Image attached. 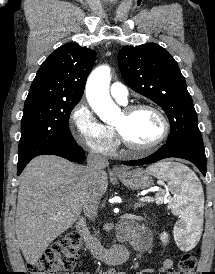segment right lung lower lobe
<instances>
[{"instance_id": "98d812e1", "label": "right lung lower lobe", "mask_w": 215, "mask_h": 274, "mask_svg": "<svg viewBox=\"0 0 215 274\" xmlns=\"http://www.w3.org/2000/svg\"><path fill=\"white\" fill-rule=\"evenodd\" d=\"M40 155H57L75 163H82L85 160V153L77 143L71 146H60L51 148L47 151H44ZM30 160L18 161L17 175H20V173Z\"/></svg>"}]
</instances>
